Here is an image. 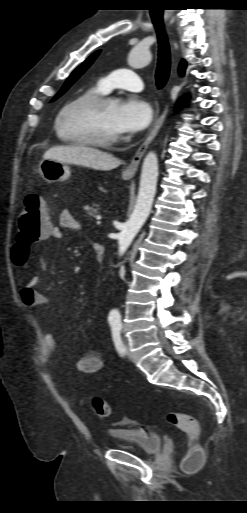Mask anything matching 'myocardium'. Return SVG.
Returning <instances> with one entry per match:
<instances>
[{
    "instance_id": "myocardium-1",
    "label": "myocardium",
    "mask_w": 247,
    "mask_h": 513,
    "mask_svg": "<svg viewBox=\"0 0 247 513\" xmlns=\"http://www.w3.org/2000/svg\"><path fill=\"white\" fill-rule=\"evenodd\" d=\"M114 101V99L110 96L104 95V94H91V95H85L81 96L79 98H76L75 100L71 101L67 105H65L59 112L57 119H56V129L59 134L65 135L63 127H62V121L67 112H69L72 109L76 108H83V109H94L99 108L104 105H106L109 102ZM67 137L73 142L77 144H83V145H91V146H98V147H110L115 144H117L120 140L118 137L113 138H96L91 136H68Z\"/></svg>"
}]
</instances>
